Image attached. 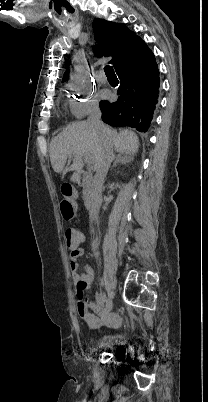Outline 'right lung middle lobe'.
<instances>
[{"mask_svg": "<svg viewBox=\"0 0 208 402\" xmlns=\"http://www.w3.org/2000/svg\"><path fill=\"white\" fill-rule=\"evenodd\" d=\"M104 102H105V101H101L100 104H101V103H104Z\"/></svg>", "mask_w": 208, "mask_h": 402, "instance_id": "1", "label": "right lung middle lobe"}]
</instances>
